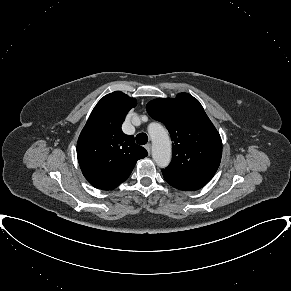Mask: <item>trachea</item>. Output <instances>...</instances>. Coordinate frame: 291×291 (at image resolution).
<instances>
[{
  "label": "trachea",
  "instance_id": "obj_1",
  "mask_svg": "<svg viewBox=\"0 0 291 291\" xmlns=\"http://www.w3.org/2000/svg\"><path fill=\"white\" fill-rule=\"evenodd\" d=\"M136 142L139 145H145L148 142V136L145 133H139L136 136Z\"/></svg>",
  "mask_w": 291,
  "mask_h": 291
}]
</instances>
